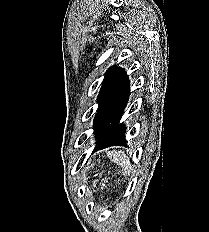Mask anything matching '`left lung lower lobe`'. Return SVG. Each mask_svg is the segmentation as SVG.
I'll use <instances>...</instances> for the list:
<instances>
[{
    "label": "left lung lower lobe",
    "instance_id": "1",
    "mask_svg": "<svg viewBox=\"0 0 209 232\" xmlns=\"http://www.w3.org/2000/svg\"><path fill=\"white\" fill-rule=\"evenodd\" d=\"M130 94L128 76L120 88L108 99L99 103L94 118L97 139L95 150L126 144L125 126L120 123Z\"/></svg>",
    "mask_w": 209,
    "mask_h": 232
}]
</instances>
